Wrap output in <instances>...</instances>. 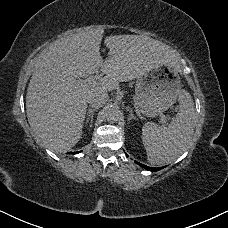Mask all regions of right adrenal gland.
Listing matches in <instances>:
<instances>
[{
  "label": "right adrenal gland",
  "instance_id": "1",
  "mask_svg": "<svg viewBox=\"0 0 228 228\" xmlns=\"http://www.w3.org/2000/svg\"><path fill=\"white\" fill-rule=\"evenodd\" d=\"M94 111H97V109H88L86 113V118L84 121V124H87L88 122H90V128L92 127V123H93Z\"/></svg>",
  "mask_w": 228,
  "mask_h": 228
}]
</instances>
